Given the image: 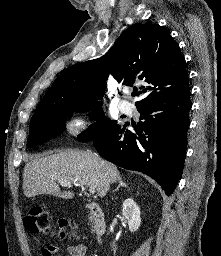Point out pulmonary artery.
Segmentation results:
<instances>
[{"label":"pulmonary artery","instance_id":"obj_1","mask_svg":"<svg viewBox=\"0 0 221 256\" xmlns=\"http://www.w3.org/2000/svg\"><path fill=\"white\" fill-rule=\"evenodd\" d=\"M119 109L122 113L131 114L133 112V105L126 100L119 103Z\"/></svg>","mask_w":221,"mask_h":256}]
</instances>
